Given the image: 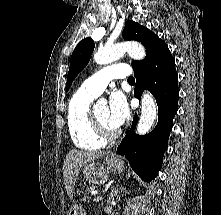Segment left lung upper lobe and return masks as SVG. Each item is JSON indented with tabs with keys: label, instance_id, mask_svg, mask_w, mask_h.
Returning a JSON list of instances; mask_svg holds the SVG:
<instances>
[{
	"label": "left lung upper lobe",
	"instance_id": "left-lung-upper-lobe-1",
	"mask_svg": "<svg viewBox=\"0 0 221 215\" xmlns=\"http://www.w3.org/2000/svg\"><path fill=\"white\" fill-rule=\"evenodd\" d=\"M122 36L126 40L141 42L147 49V54L144 60L132 62L134 70L144 67L151 60L156 51L165 44V42L152 31L131 20L126 22ZM93 50L94 42L91 38L83 39L74 49L70 60L66 91L69 90L72 81L78 73L82 71L89 62Z\"/></svg>",
	"mask_w": 221,
	"mask_h": 215
}]
</instances>
